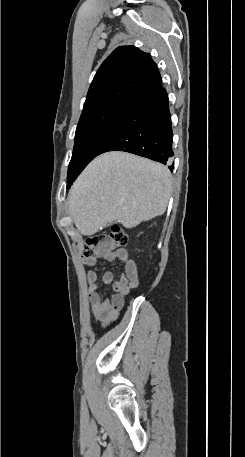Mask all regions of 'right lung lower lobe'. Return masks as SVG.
<instances>
[{
    "label": "right lung lower lobe",
    "mask_w": 245,
    "mask_h": 457,
    "mask_svg": "<svg viewBox=\"0 0 245 457\" xmlns=\"http://www.w3.org/2000/svg\"><path fill=\"white\" fill-rule=\"evenodd\" d=\"M169 101L164 88L159 87L140 98L102 147L107 151H125L163 164L174 155ZM174 164L169 166L173 170Z\"/></svg>",
    "instance_id": "obj_1"
}]
</instances>
